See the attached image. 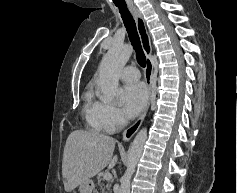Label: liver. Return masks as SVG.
<instances>
[{
    "instance_id": "1",
    "label": "liver",
    "mask_w": 237,
    "mask_h": 193,
    "mask_svg": "<svg viewBox=\"0 0 237 193\" xmlns=\"http://www.w3.org/2000/svg\"><path fill=\"white\" fill-rule=\"evenodd\" d=\"M115 139L95 131L75 130L67 138L62 162L64 189L71 192L108 166L117 163L113 157Z\"/></svg>"
}]
</instances>
